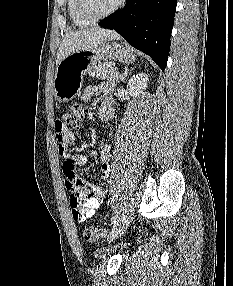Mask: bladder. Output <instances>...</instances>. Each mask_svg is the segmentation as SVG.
<instances>
[{"instance_id": "31cf9c89", "label": "bladder", "mask_w": 233, "mask_h": 286, "mask_svg": "<svg viewBox=\"0 0 233 286\" xmlns=\"http://www.w3.org/2000/svg\"><path fill=\"white\" fill-rule=\"evenodd\" d=\"M120 251H123V246L116 247V248L99 247L95 251V255L98 257H101V256L109 254V253H116V252H120Z\"/></svg>"}]
</instances>
